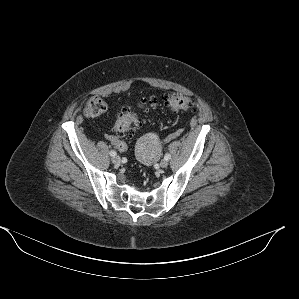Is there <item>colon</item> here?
Segmentation results:
<instances>
[{
  "label": "colon",
  "instance_id": "1",
  "mask_svg": "<svg viewBox=\"0 0 299 299\" xmlns=\"http://www.w3.org/2000/svg\"><path fill=\"white\" fill-rule=\"evenodd\" d=\"M166 105L174 111H190L196 109L195 101L187 96L183 95H166L164 97ZM145 105L148 107H153L156 101L153 99L144 100ZM106 110V103L103 99L97 96L89 98L84 106V114L88 118H95L103 114ZM138 123L137 115L129 110L122 112L117 118L114 131L118 136L132 135L135 131V126ZM119 140L116 144L117 149L126 151V143L118 137Z\"/></svg>",
  "mask_w": 299,
  "mask_h": 299
}]
</instances>
